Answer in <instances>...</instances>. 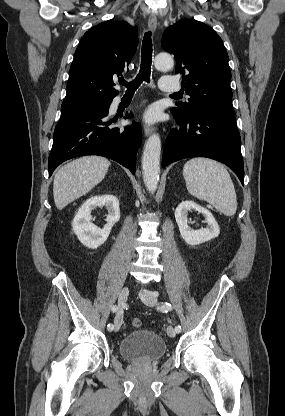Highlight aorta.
<instances>
[{
    "mask_svg": "<svg viewBox=\"0 0 285 416\" xmlns=\"http://www.w3.org/2000/svg\"><path fill=\"white\" fill-rule=\"evenodd\" d=\"M154 65L157 70L167 71L174 65L173 58L167 53L155 57ZM161 140L158 134L151 135L144 145L142 156L143 181L147 190L155 192L159 182Z\"/></svg>",
    "mask_w": 285,
    "mask_h": 416,
    "instance_id": "aorta-1",
    "label": "aorta"
}]
</instances>
